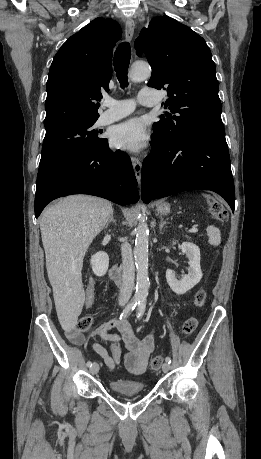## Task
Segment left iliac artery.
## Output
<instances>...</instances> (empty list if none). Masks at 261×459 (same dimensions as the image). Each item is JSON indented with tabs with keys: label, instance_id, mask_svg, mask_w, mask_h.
<instances>
[{
	"label": "left iliac artery",
	"instance_id": "44dca946",
	"mask_svg": "<svg viewBox=\"0 0 261 459\" xmlns=\"http://www.w3.org/2000/svg\"><path fill=\"white\" fill-rule=\"evenodd\" d=\"M145 308H146V301L144 299H142V300L139 301L138 307H137V318L138 319H141V317L143 316V314L145 312ZM165 361L170 364L171 363V358L170 357H166Z\"/></svg>",
	"mask_w": 261,
	"mask_h": 459
}]
</instances>
